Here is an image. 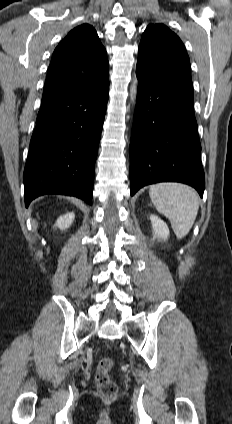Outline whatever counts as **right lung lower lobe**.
<instances>
[{
  "label": "right lung lower lobe",
  "mask_w": 232,
  "mask_h": 424,
  "mask_svg": "<svg viewBox=\"0 0 232 424\" xmlns=\"http://www.w3.org/2000/svg\"><path fill=\"white\" fill-rule=\"evenodd\" d=\"M108 95L109 82L42 100L23 175L26 207L44 194L75 196L92 204Z\"/></svg>",
  "instance_id": "1"
}]
</instances>
